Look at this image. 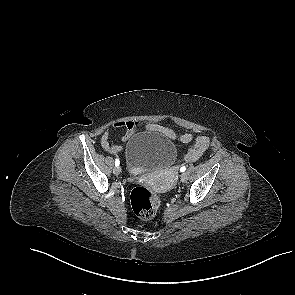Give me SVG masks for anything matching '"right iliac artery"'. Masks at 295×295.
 Returning a JSON list of instances; mask_svg holds the SVG:
<instances>
[{"label":"right iliac artery","instance_id":"82829eb1","mask_svg":"<svg viewBox=\"0 0 295 295\" xmlns=\"http://www.w3.org/2000/svg\"><path fill=\"white\" fill-rule=\"evenodd\" d=\"M120 162L118 159L115 160V166H119Z\"/></svg>","mask_w":295,"mask_h":295}]
</instances>
